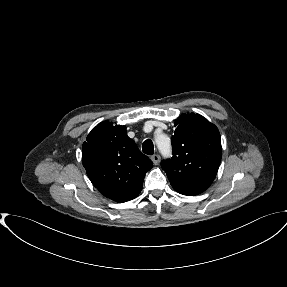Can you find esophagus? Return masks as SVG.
I'll return each instance as SVG.
<instances>
[{"label": "esophagus", "mask_w": 287, "mask_h": 287, "mask_svg": "<svg viewBox=\"0 0 287 287\" xmlns=\"http://www.w3.org/2000/svg\"><path fill=\"white\" fill-rule=\"evenodd\" d=\"M151 160L155 165H158V163L160 162V156L158 154H154L151 156Z\"/></svg>", "instance_id": "34e87169"}]
</instances>
